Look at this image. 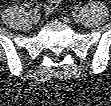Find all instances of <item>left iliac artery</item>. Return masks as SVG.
Instances as JSON below:
<instances>
[{"instance_id": "obj_1", "label": "left iliac artery", "mask_w": 111, "mask_h": 106, "mask_svg": "<svg viewBox=\"0 0 111 106\" xmlns=\"http://www.w3.org/2000/svg\"><path fill=\"white\" fill-rule=\"evenodd\" d=\"M74 9H75L76 11H78V10L80 9V7H79V6H75Z\"/></svg>"}]
</instances>
